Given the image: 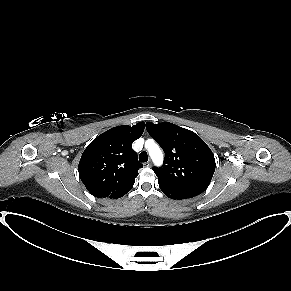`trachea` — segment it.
<instances>
[{"instance_id": "3493384b", "label": "trachea", "mask_w": 291, "mask_h": 291, "mask_svg": "<svg viewBox=\"0 0 291 291\" xmlns=\"http://www.w3.org/2000/svg\"><path fill=\"white\" fill-rule=\"evenodd\" d=\"M139 161L140 162H147L148 161V155L146 152H141L139 154Z\"/></svg>"}]
</instances>
